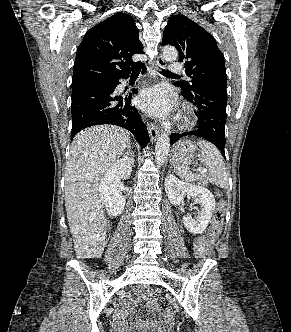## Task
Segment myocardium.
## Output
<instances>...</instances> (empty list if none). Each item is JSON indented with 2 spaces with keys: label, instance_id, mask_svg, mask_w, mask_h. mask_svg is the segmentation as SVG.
<instances>
[{
  "label": "myocardium",
  "instance_id": "obj_1",
  "mask_svg": "<svg viewBox=\"0 0 291 332\" xmlns=\"http://www.w3.org/2000/svg\"><path fill=\"white\" fill-rule=\"evenodd\" d=\"M195 124L193 109L186 105L178 115V127L182 130H188Z\"/></svg>",
  "mask_w": 291,
  "mask_h": 332
}]
</instances>
